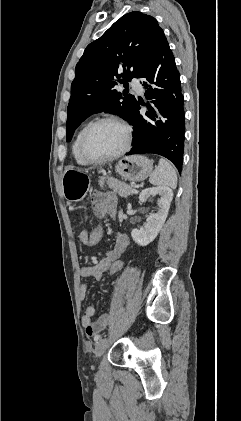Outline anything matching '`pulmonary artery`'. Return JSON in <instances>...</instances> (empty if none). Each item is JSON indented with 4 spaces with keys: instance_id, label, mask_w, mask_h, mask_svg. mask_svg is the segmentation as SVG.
Returning a JSON list of instances; mask_svg holds the SVG:
<instances>
[{
    "instance_id": "obj_1",
    "label": "pulmonary artery",
    "mask_w": 241,
    "mask_h": 421,
    "mask_svg": "<svg viewBox=\"0 0 241 421\" xmlns=\"http://www.w3.org/2000/svg\"><path fill=\"white\" fill-rule=\"evenodd\" d=\"M131 86H132V89L134 91H136L137 93H142L143 92L142 85H141V83H140V81L138 79H133L131 81Z\"/></svg>"
}]
</instances>
